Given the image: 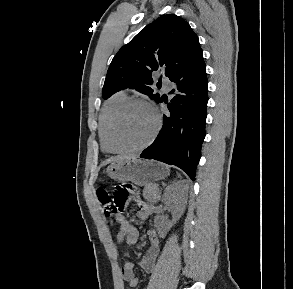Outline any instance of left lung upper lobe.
Wrapping results in <instances>:
<instances>
[{
    "instance_id": "1",
    "label": "left lung upper lobe",
    "mask_w": 293,
    "mask_h": 289,
    "mask_svg": "<svg viewBox=\"0 0 293 289\" xmlns=\"http://www.w3.org/2000/svg\"><path fill=\"white\" fill-rule=\"evenodd\" d=\"M199 39L188 22L175 14L162 15L148 24L113 58L102 90L104 99L124 88L153 94L152 72L162 69L170 78L188 66L200 53Z\"/></svg>"
}]
</instances>
